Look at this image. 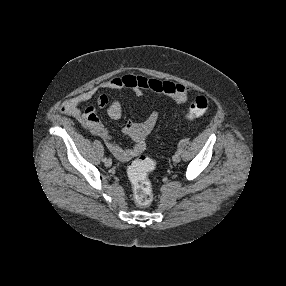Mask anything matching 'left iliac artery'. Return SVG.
<instances>
[{
	"label": "left iliac artery",
	"instance_id": "left-iliac-artery-1",
	"mask_svg": "<svg viewBox=\"0 0 286 286\" xmlns=\"http://www.w3.org/2000/svg\"><path fill=\"white\" fill-rule=\"evenodd\" d=\"M176 154H177V155H179V154H180V152H179V151H177V152H176Z\"/></svg>",
	"mask_w": 286,
	"mask_h": 286
}]
</instances>
